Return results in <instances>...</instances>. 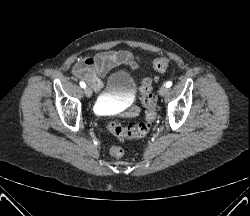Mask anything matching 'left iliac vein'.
<instances>
[{
	"instance_id": "left-iliac-vein-1",
	"label": "left iliac vein",
	"mask_w": 250,
	"mask_h": 216,
	"mask_svg": "<svg viewBox=\"0 0 250 216\" xmlns=\"http://www.w3.org/2000/svg\"><path fill=\"white\" fill-rule=\"evenodd\" d=\"M168 89L165 85L161 86L160 89H159V94L161 96H164L166 93H167Z\"/></svg>"
}]
</instances>
